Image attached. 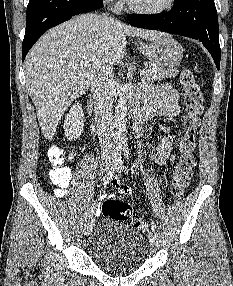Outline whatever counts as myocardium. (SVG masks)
<instances>
[{
	"label": "myocardium",
	"instance_id": "1",
	"mask_svg": "<svg viewBox=\"0 0 233 286\" xmlns=\"http://www.w3.org/2000/svg\"><path fill=\"white\" fill-rule=\"evenodd\" d=\"M129 8L139 14L142 15H148V16H153V15H159L163 14L169 10H171L174 6L175 0H166V3L159 8L155 9H147V8H142L137 5H135L131 0H127Z\"/></svg>",
	"mask_w": 233,
	"mask_h": 286
}]
</instances>
